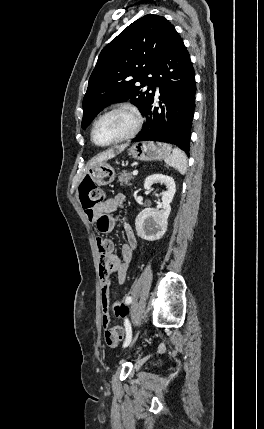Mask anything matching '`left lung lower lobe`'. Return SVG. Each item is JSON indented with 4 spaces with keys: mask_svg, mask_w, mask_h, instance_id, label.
Wrapping results in <instances>:
<instances>
[{
    "mask_svg": "<svg viewBox=\"0 0 264 429\" xmlns=\"http://www.w3.org/2000/svg\"><path fill=\"white\" fill-rule=\"evenodd\" d=\"M152 84L151 98L141 113L146 123L132 141L172 143L188 154L195 107V74L190 55L175 28L157 62ZM156 86L160 88V107L153 105Z\"/></svg>",
    "mask_w": 264,
    "mask_h": 429,
    "instance_id": "0a47b994",
    "label": "left lung lower lobe"
}]
</instances>
